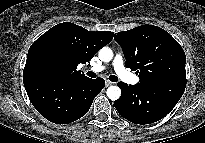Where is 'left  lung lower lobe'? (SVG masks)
I'll return each mask as SVG.
<instances>
[{"mask_svg": "<svg viewBox=\"0 0 205 143\" xmlns=\"http://www.w3.org/2000/svg\"><path fill=\"white\" fill-rule=\"evenodd\" d=\"M121 97L114 102L118 113L135 124H150L165 117L182 97L185 79L128 85L119 82Z\"/></svg>", "mask_w": 205, "mask_h": 143, "instance_id": "obj_1", "label": "left lung lower lobe"}]
</instances>
